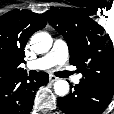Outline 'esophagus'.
<instances>
[{
    "instance_id": "obj_1",
    "label": "esophagus",
    "mask_w": 114,
    "mask_h": 114,
    "mask_svg": "<svg viewBox=\"0 0 114 114\" xmlns=\"http://www.w3.org/2000/svg\"><path fill=\"white\" fill-rule=\"evenodd\" d=\"M56 80H58L57 77H55V76H53V75H50V76H49V81H50V82H55Z\"/></svg>"
}]
</instances>
